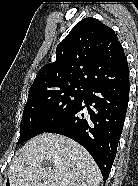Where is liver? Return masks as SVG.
I'll list each match as a JSON object with an SVG mask.
<instances>
[{"label":"liver","mask_w":138,"mask_h":186,"mask_svg":"<svg viewBox=\"0 0 138 186\" xmlns=\"http://www.w3.org/2000/svg\"><path fill=\"white\" fill-rule=\"evenodd\" d=\"M44 160L53 169L42 166ZM10 186H99L102 175L91 155L72 139L43 133L29 140L8 169Z\"/></svg>","instance_id":"liver-1"}]
</instances>
